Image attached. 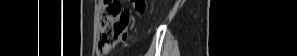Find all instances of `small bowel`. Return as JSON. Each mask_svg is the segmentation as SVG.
<instances>
[{"mask_svg": "<svg viewBox=\"0 0 297 56\" xmlns=\"http://www.w3.org/2000/svg\"><path fill=\"white\" fill-rule=\"evenodd\" d=\"M128 38H130V33H121V36H119V41H128Z\"/></svg>", "mask_w": 297, "mask_h": 56, "instance_id": "obj_1", "label": "small bowel"}]
</instances>
